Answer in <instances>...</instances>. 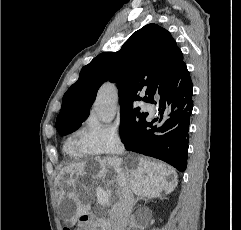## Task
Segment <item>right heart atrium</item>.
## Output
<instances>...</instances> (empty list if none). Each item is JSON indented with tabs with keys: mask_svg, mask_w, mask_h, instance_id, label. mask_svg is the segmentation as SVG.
<instances>
[{
	"mask_svg": "<svg viewBox=\"0 0 241 230\" xmlns=\"http://www.w3.org/2000/svg\"><path fill=\"white\" fill-rule=\"evenodd\" d=\"M81 139L90 154L114 155L123 149L121 134L111 124H90Z\"/></svg>",
	"mask_w": 241,
	"mask_h": 230,
	"instance_id": "obj_1",
	"label": "right heart atrium"
}]
</instances>
